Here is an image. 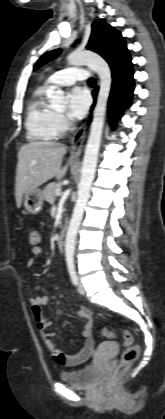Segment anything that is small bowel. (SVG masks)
<instances>
[{
  "instance_id": "1",
  "label": "small bowel",
  "mask_w": 165,
  "mask_h": 419,
  "mask_svg": "<svg viewBox=\"0 0 165 419\" xmlns=\"http://www.w3.org/2000/svg\"><path fill=\"white\" fill-rule=\"evenodd\" d=\"M35 234L38 241L33 243L30 239L31 235ZM29 241L32 244L31 252L34 256H40L43 252L42 247L39 245L40 237L37 231L29 232ZM35 258H30L27 261V266L32 267L35 265ZM36 326L42 334V338L46 348L51 352L54 361L63 366H78L89 360L91 354L95 350L96 343L92 338L93 321L91 312L86 307H80L77 314L80 318L85 320V325L81 333L83 339V345L74 353H64L58 349L53 341V336L46 332V329L51 325V322L47 321L43 312L42 306L48 302V297L45 295H39L30 298L29 300Z\"/></svg>"
}]
</instances>
